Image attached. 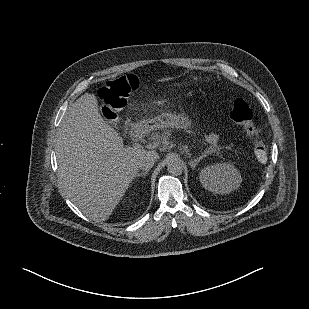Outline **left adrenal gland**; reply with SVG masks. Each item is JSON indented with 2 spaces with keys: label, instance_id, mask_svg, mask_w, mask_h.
Here are the masks:
<instances>
[{
  "label": "left adrenal gland",
  "instance_id": "1",
  "mask_svg": "<svg viewBox=\"0 0 309 309\" xmlns=\"http://www.w3.org/2000/svg\"><path fill=\"white\" fill-rule=\"evenodd\" d=\"M203 157H204V155H202V156H200V157H197V158L194 159V160L191 159L189 165H190L193 169H195L196 166H197V164L202 160Z\"/></svg>",
  "mask_w": 309,
  "mask_h": 309
}]
</instances>
